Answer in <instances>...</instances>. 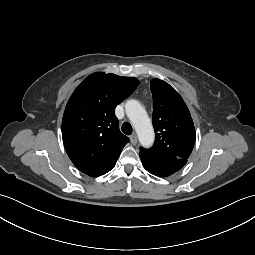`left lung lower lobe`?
Returning a JSON list of instances; mask_svg holds the SVG:
<instances>
[{
	"label": "left lung lower lobe",
	"instance_id": "obj_1",
	"mask_svg": "<svg viewBox=\"0 0 255 255\" xmlns=\"http://www.w3.org/2000/svg\"><path fill=\"white\" fill-rule=\"evenodd\" d=\"M140 158L144 168L151 174L159 177H167L174 174L175 172L179 171L187 162L185 160H179L175 163L165 165L151 162L142 156H140Z\"/></svg>",
	"mask_w": 255,
	"mask_h": 255
}]
</instances>
